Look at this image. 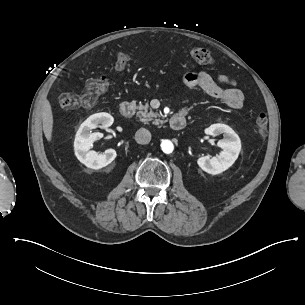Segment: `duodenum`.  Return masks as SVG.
<instances>
[{"instance_id": "410a0bca", "label": "duodenum", "mask_w": 305, "mask_h": 305, "mask_svg": "<svg viewBox=\"0 0 305 305\" xmlns=\"http://www.w3.org/2000/svg\"><path fill=\"white\" fill-rule=\"evenodd\" d=\"M136 106L130 101H125L120 105V114L124 118H130L134 115ZM186 117L184 113H176L170 118V126L174 130H180L185 126Z\"/></svg>"}]
</instances>
